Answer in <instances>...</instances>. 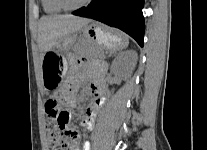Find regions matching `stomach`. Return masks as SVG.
Returning a JSON list of instances; mask_svg holds the SVG:
<instances>
[{
	"mask_svg": "<svg viewBox=\"0 0 207 150\" xmlns=\"http://www.w3.org/2000/svg\"><path fill=\"white\" fill-rule=\"evenodd\" d=\"M71 40L56 45L43 56V83L46 89L59 88L64 83L68 67L65 53H61L70 44L76 43L80 52L91 59L99 60L103 51L116 52L128 45L127 37L120 32H113L99 24L85 25L79 32L71 34Z\"/></svg>",
	"mask_w": 207,
	"mask_h": 150,
	"instance_id": "0dacf381",
	"label": "stomach"
}]
</instances>
